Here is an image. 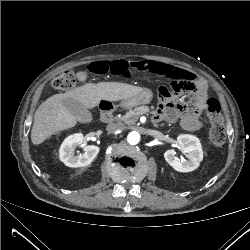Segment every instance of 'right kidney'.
I'll list each match as a JSON object with an SVG mask.
<instances>
[{"label": "right kidney", "mask_w": 250, "mask_h": 250, "mask_svg": "<svg viewBox=\"0 0 250 250\" xmlns=\"http://www.w3.org/2000/svg\"><path fill=\"white\" fill-rule=\"evenodd\" d=\"M82 133L68 136L62 143L59 156L60 160L68 167L77 168L88 166L99 153V147L95 145L84 146V153L74 155L75 148L83 145Z\"/></svg>", "instance_id": "obj_1"}]
</instances>
